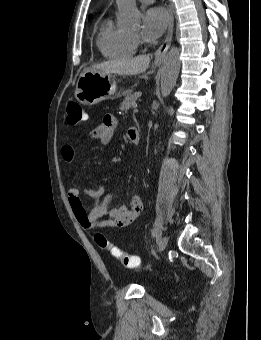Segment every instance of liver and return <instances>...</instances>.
<instances>
[{
	"mask_svg": "<svg viewBox=\"0 0 261 340\" xmlns=\"http://www.w3.org/2000/svg\"><path fill=\"white\" fill-rule=\"evenodd\" d=\"M149 63L150 57L142 55L131 59L105 61L92 65L88 70L118 75H137L145 72Z\"/></svg>",
	"mask_w": 261,
	"mask_h": 340,
	"instance_id": "liver-1",
	"label": "liver"
}]
</instances>
